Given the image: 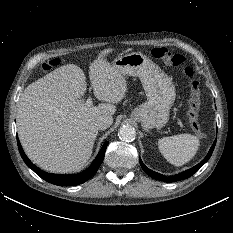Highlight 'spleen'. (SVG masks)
I'll return each mask as SVG.
<instances>
[{
  "label": "spleen",
  "instance_id": "3e777b00",
  "mask_svg": "<svg viewBox=\"0 0 233 233\" xmlns=\"http://www.w3.org/2000/svg\"><path fill=\"white\" fill-rule=\"evenodd\" d=\"M199 145L198 137L191 134L164 137L158 142L161 154L175 166L189 162L196 155Z\"/></svg>",
  "mask_w": 233,
  "mask_h": 233
}]
</instances>
